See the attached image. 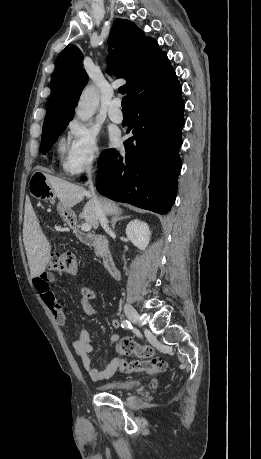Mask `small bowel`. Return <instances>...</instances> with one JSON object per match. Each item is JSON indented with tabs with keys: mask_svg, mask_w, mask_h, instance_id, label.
<instances>
[{
	"mask_svg": "<svg viewBox=\"0 0 261 459\" xmlns=\"http://www.w3.org/2000/svg\"><path fill=\"white\" fill-rule=\"evenodd\" d=\"M55 281V276L52 273L44 272L33 279V285L41 297L42 301L49 308L55 320L60 325H65L67 322V314L59 304L54 292L50 288V284ZM80 293L82 296V307L84 311L92 315L94 313V308L91 304V299L88 298V294L93 295V292L87 287H80ZM112 327L114 329H119L121 323L117 319H112ZM120 336L117 333H112L110 335L111 342H117ZM72 347L74 351L79 356V359L88 373L90 379L95 382H99L105 379L112 377L117 369L119 368V363L122 360L120 356H115L103 369H97L92 366L91 353L93 352V342L91 335L86 330H80L76 334L75 338L72 341Z\"/></svg>",
	"mask_w": 261,
	"mask_h": 459,
	"instance_id": "small-bowel-1",
	"label": "small bowel"
}]
</instances>
